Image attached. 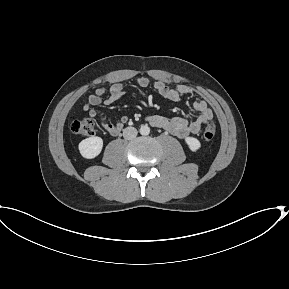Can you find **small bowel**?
<instances>
[{
	"instance_id": "1",
	"label": "small bowel",
	"mask_w": 289,
	"mask_h": 289,
	"mask_svg": "<svg viewBox=\"0 0 289 289\" xmlns=\"http://www.w3.org/2000/svg\"><path fill=\"white\" fill-rule=\"evenodd\" d=\"M137 85L140 87L152 85L158 95L175 102L180 101L184 96H191L193 94L192 89L186 85L180 84L175 87H169L162 80L152 81L147 77L138 78ZM125 94L126 85L123 82L112 84L108 90L102 87L98 88L93 95L89 96L84 105V111L87 112L90 117L95 118L97 116V112L94 109L95 106H109ZM192 107L197 112V117L191 121L180 116L168 118L161 115L148 116L147 120L154 127L166 130L170 134L183 139L198 134L201 127L213 117L211 109L204 100H193ZM127 120L128 118L124 116L116 124H113L101 117L99 122L102 128L110 135H117L122 130Z\"/></svg>"
}]
</instances>
